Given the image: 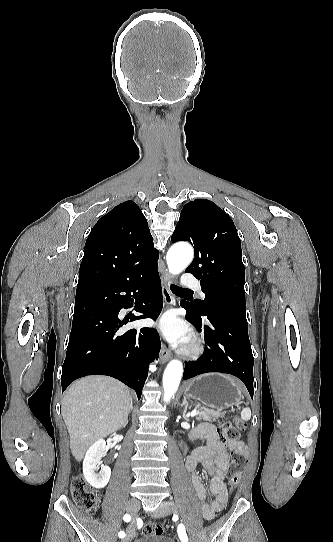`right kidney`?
Masks as SVG:
<instances>
[{
  "label": "right kidney",
  "instance_id": "1",
  "mask_svg": "<svg viewBox=\"0 0 333 542\" xmlns=\"http://www.w3.org/2000/svg\"><path fill=\"white\" fill-rule=\"evenodd\" d=\"M104 456H106V442L105 440H97L87 450L83 460V476L90 486L98 488V490L107 486L111 476V468L109 466H100L101 474H95V470H99L98 462Z\"/></svg>",
  "mask_w": 333,
  "mask_h": 542
}]
</instances>
